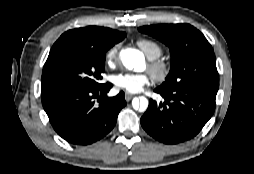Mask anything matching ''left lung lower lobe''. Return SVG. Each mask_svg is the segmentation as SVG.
<instances>
[{"instance_id": "1", "label": "left lung lower lobe", "mask_w": 254, "mask_h": 174, "mask_svg": "<svg viewBox=\"0 0 254 174\" xmlns=\"http://www.w3.org/2000/svg\"><path fill=\"white\" fill-rule=\"evenodd\" d=\"M165 102L150 100L141 117L144 130L165 144H177L196 136L215 110L218 89L186 86L175 91L159 88Z\"/></svg>"}]
</instances>
